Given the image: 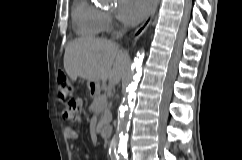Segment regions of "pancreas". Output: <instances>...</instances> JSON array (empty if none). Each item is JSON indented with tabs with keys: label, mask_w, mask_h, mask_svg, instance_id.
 Masks as SVG:
<instances>
[{
	"label": "pancreas",
	"mask_w": 242,
	"mask_h": 160,
	"mask_svg": "<svg viewBox=\"0 0 242 160\" xmlns=\"http://www.w3.org/2000/svg\"><path fill=\"white\" fill-rule=\"evenodd\" d=\"M107 95H97L89 108L91 112H98L100 119L97 125V130H100L104 125L111 121V113L108 107Z\"/></svg>",
	"instance_id": "obj_1"
}]
</instances>
